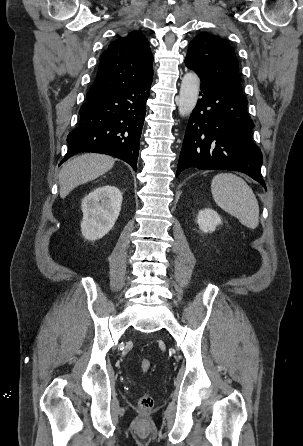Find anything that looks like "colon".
<instances>
[{
  "label": "colon",
  "instance_id": "1",
  "mask_svg": "<svg viewBox=\"0 0 303 446\" xmlns=\"http://www.w3.org/2000/svg\"><path fill=\"white\" fill-rule=\"evenodd\" d=\"M150 367L151 363L148 359L143 358L139 361V368L142 372L147 373ZM139 406L144 411L150 410L153 406V398L150 395H143L139 400Z\"/></svg>",
  "mask_w": 303,
  "mask_h": 446
}]
</instances>
